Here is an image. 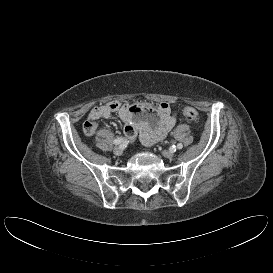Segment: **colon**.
<instances>
[{"mask_svg": "<svg viewBox=\"0 0 273 273\" xmlns=\"http://www.w3.org/2000/svg\"><path fill=\"white\" fill-rule=\"evenodd\" d=\"M182 113H183V116L189 120V121H192V122H197L199 121V113L198 111L193 108V107H190V106H186L182 109Z\"/></svg>", "mask_w": 273, "mask_h": 273, "instance_id": "5ec220e1", "label": "colon"}]
</instances>
